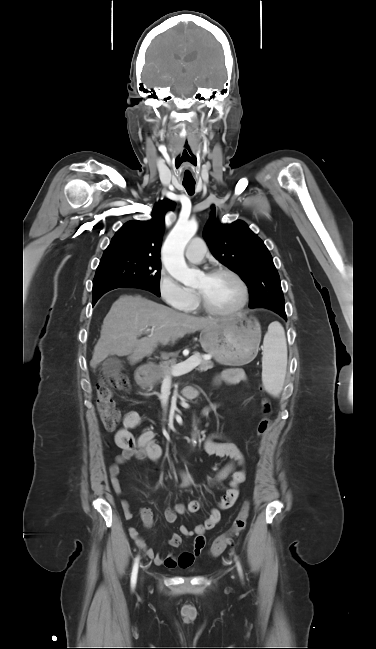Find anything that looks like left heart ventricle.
Segmentation results:
<instances>
[{
  "mask_svg": "<svg viewBox=\"0 0 376 649\" xmlns=\"http://www.w3.org/2000/svg\"><path fill=\"white\" fill-rule=\"evenodd\" d=\"M195 290L203 293L208 303L215 309L229 310L241 300V289L238 283L228 274L214 276L202 275Z\"/></svg>",
  "mask_w": 376,
  "mask_h": 649,
  "instance_id": "1",
  "label": "left heart ventricle"
}]
</instances>
